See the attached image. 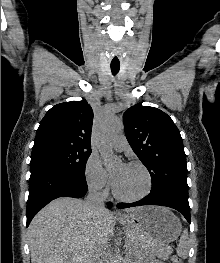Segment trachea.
I'll use <instances>...</instances> for the list:
<instances>
[{"instance_id": "3493384b", "label": "trachea", "mask_w": 220, "mask_h": 263, "mask_svg": "<svg viewBox=\"0 0 220 263\" xmlns=\"http://www.w3.org/2000/svg\"><path fill=\"white\" fill-rule=\"evenodd\" d=\"M120 70V65H112L111 64V72L113 75H116Z\"/></svg>"}]
</instances>
